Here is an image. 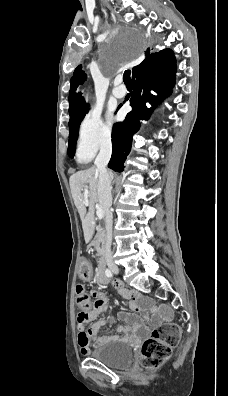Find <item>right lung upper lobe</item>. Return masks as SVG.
Returning a JSON list of instances; mask_svg holds the SVG:
<instances>
[{"mask_svg":"<svg viewBox=\"0 0 228 396\" xmlns=\"http://www.w3.org/2000/svg\"><path fill=\"white\" fill-rule=\"evenodd\" d=\"M145 55L148 57L151 55L149 48L145 52ZM146 57V58H147ZM137 68V66L132 68V72ZM86 79V74L82 71V65H79L73 73V77L70 82V94H69V114L73 115L76 112L84 110L88 108V105L85 103L81 94H77V88L79 85L83 84Z\"/></svg>","mask_w":228,"mask_h":396,"instance_id":"right-lung-upper-lobe-1","label":"right lung upper lobe"}]
</instances>
